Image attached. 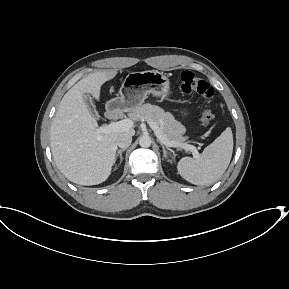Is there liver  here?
Returning a JSON list of instances; mask_svg holds the SVG:
<instances>
[{"label":"liver","instance_id":"1","mask_svg":"<svg viewBox=\"0 0 289 289\" xmlns=\"http://www.w3.org/2000/svg\"><path fill=\"white\" fill-rule=\"evenodd\" d=\"M116 70L99 71L81 79L62 98L50 129V147L62 174L80 185H97L110 175L115 163L116 141L135 131L99 132L98 123L88 111L84 94L97 100L101 86L113 79Z\"/></svg>","mask_w":289,"mask_h":289}]
</instances>
